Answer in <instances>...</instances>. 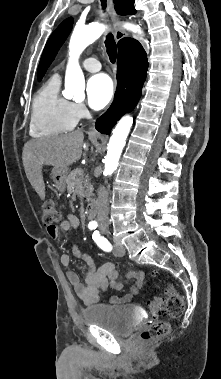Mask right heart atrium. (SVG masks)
Returning a JSON list of instances; mask_svg holds the SVG:
<instances>
[{
	"instance_id": "1",
	"label": "right heart atrium",
	"mask_w": 221,
	"mask_h": 379,
	"mask_svg": "<svg viewBox=\"0 0 221 379\" xmlns=\"http://www.w3.org/2000/svg\"><path fill=\"white\" fill-rule=\"evenodd\" d=\"M72 110L77 120L83 118L87 112L85 106L79 102L72 103Z\"/></svg>"
}]
</instances>
